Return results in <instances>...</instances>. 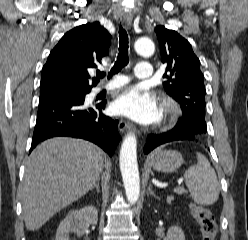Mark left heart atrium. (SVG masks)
<instances>
[{"mask_svg":"<svg viewBox=\"0 0 248 240\" xmlns=\"http://www.w3.org/2000/svg\"><path fill=\"white\" fill-rule=\"evenodd\" d=\"M115 111L144 124L157 122L161 117L156 96L140 87L125 90L114 103Z\"/></svg>","mask_w":248,"mask_h":240,"instance_id":"39dd6f15","label":"left heart atrium"}]
</instances>
